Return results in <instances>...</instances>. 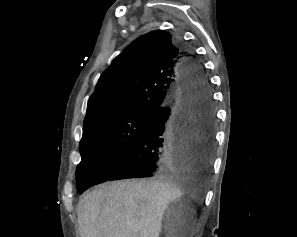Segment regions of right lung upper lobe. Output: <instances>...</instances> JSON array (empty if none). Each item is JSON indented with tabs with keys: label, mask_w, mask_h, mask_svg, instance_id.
<instances>
[{
	"label": "right lung upper lobe",
	"mask_w": 297,
	"mask_h": 237,
	"mask_svg": "<svg viewBox=\"0 0 297 237\" xmlns=\"http://www.w3.org/2000/svg\"><path fill=\"white\" fill-rule=\"evenodd\" d=\"M186 52L165 31H152L129 45L100 76L87 105L83 130L97 121L168 104L184 81Z\"/></svg>",
	"instance_id": "1"
}]
</instances>
